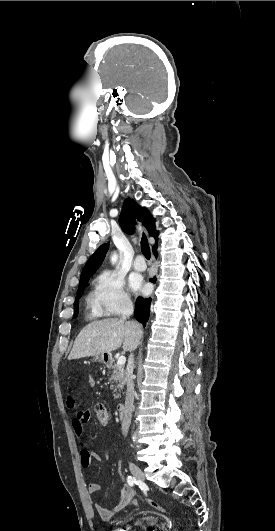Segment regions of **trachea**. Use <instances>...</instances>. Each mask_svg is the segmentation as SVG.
Segmentation results:
<instances>
[{"label":"trachea","instance_id":"1","mask_svg":"<svg viewBox=\"0 0 275 531\" xmlns=\"http://www.w3.org/2000/svg\"><path fill=\"white\" fill-rule=\"evenodd\" d=\"M141 251L144 254L146 259H150L151 251H150V248H149V243H148L147 238L144 235V233H143L142 239H141Z\"/></svg>","mask_w":275,"mask_h":531}]
</instances>
